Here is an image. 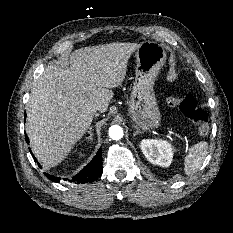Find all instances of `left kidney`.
Masks as SVG:
<instances>
[{
  "instance_id": "1",
  "label": "left kidney",
  "mask_w": 233,
  "mask_h": 233,
  "mask_svg": "<svg viewBox=\"0 0 233 233\" xmlns=\"http://www.w3.org/2000/svg\"><path fill=\"white\" fill-rule=\"evenodd\" d=\"M147 160L155 165L169 167L173 158L172 145L165 140L144 139L140 143Z\"/></svg>"
}]
</instances>
